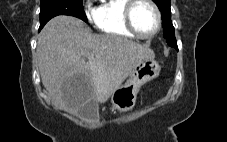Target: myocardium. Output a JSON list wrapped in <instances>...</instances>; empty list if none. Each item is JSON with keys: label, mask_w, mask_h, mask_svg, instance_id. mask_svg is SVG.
<instances>
[{"label": "myocardium", "mask_w": 227, "mask_h": 142, "mask_svg": "<svg viewBox=\"0 0 227 142\" xmlns=\"http://www.w3.org/2000/svg\"><path fill=\"white\" fill-rule=\"evenodd\" d=\"M145 2L149 4L155 11L156 17H157V27L156 29L150 33V34H142L137 30V28L134 25L133 21V13L136 8V6L141 3ZM124 22L127 27V29L136 37H139L141 39H150L156 36L162 27V14L158 7V5L153 0H128L125 7H124Z\"/></svg>", "instance_id": "f54148a6"}]
</instances>
